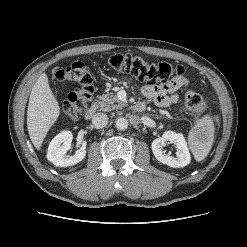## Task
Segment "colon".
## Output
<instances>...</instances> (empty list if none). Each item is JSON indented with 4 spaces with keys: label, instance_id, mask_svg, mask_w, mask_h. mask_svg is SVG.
Listing matches in <instances>:
<instances>
[{
    "label": "colon",
    "instance_id": "1",
    "mask_svg": "<svg viewBox=\"0 0 247 247\" xmlns=\"http://www.w3.org/2000/svg\"><path fill=\"white\" fill-rule=\"evenodd\" d=\"M108 65L117 73H127L139 80L150 83L165 82L173 76H181L185 68L179 64L168 62L150 63L140 56L130 54H118L108 59ZM59 81L70 82L78 85V88L70 92L62 104L64 113L70 117L82 114L91 101L94 84L89 67L83 62L77 61L63 67L56 72ZM185 101L187 108L197 114L207 110L203 97L186 86ZM214 122H218L216 115L212 116Z\"/></svg>",
    "mask_w": 247,
    "mask_h": 247
}]
</instances>
